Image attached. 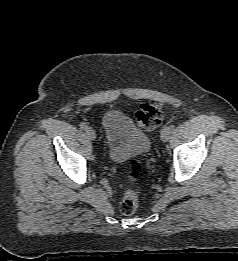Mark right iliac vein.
I'll return each instance as SVG.
<instances>
[{
	"label": "right iliac vein",
	"instance_id": "obj_1",
	"mask_svg": "<svg viewBox=\"0 0 238 261\" xmlns=\"http://www.w3.org/2000/svg\"><path fill=\"white\" fill-rule=\"evenodd\" d=\"M85 131H86V135L89 137V139L95 140L96 133L93 128L87 127Z\"/></svg>",
	"mask_w": 238,
	"mask_h": 261
}]
</instances>
